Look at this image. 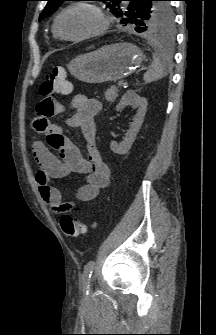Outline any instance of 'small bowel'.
Returning <instances> with one entry per match:
<instances>
[{
    "label": "small bowel",
    "mask_w": 216,
    "mask_h": 335,
    "mask_svg": "<svg viewBox=\"0 0 216 335\" xmlns=\"http://www.w3.org/2000/svg\"><path fill=\"white\" fill-rule=\"evenodd\" d=\"M75 112L67 119V126L80 129L86 142L87 155L64 136L59 126L51 123L50 115H67L68 104H63L54 94H47L37 106L32 129L36 135H46L47 143H32L33 157L37 163L36 182L42 199L56 213L70 210L74 202H64L60 190L51 184L52 179L66 177L72 172L83 175L84 183L77 189V202L94 200L99 192L110 184V170L103 161L96 141L95 116L101 111V103L83 94L71 100ZM54 138V141L51 139ZM54 149L57 154L53 153Z\"/></svg>",
    "instance_id": "obj_1"
}]
</instances>
